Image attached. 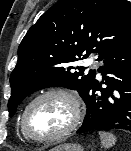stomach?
<instances>
[{"mask_svg":"<svg viewBox=\"0 0 131 151\" xmlns=\"http://www.w3.org/2000/svg\"><path fill=\"white\" fill-rule=\"evenodd\" d=\"M49 151H84V148L80 144L67 143V144L56 146L50 149Z\"/></svg>","mask_w":131,"mask_h":151,"instance_id":"0dacf381","label":"stomach"}]
</instances>
